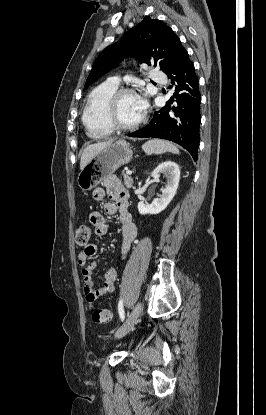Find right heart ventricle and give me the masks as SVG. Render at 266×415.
Returning <instances> with one entry per match:
<instances>
[{
  "label": "right heart ventricle",
  "instance_id": "right-heart-ventricle-1",
  "mask_svg": "<svg viewBox=\"0 0 266 415\" xmlns=\"http://www.w3.org/2000/svg\"><path fill=\"white\" fill-rule=\"evenodd\" d=\"M117 88L118 86L105 82L89 94L82 114V121L89 137L102 139L114 132L107 118V103Z\"/></svg>",
  "mask_w": 266,
  "mask_h": 415
}]
</instances>
